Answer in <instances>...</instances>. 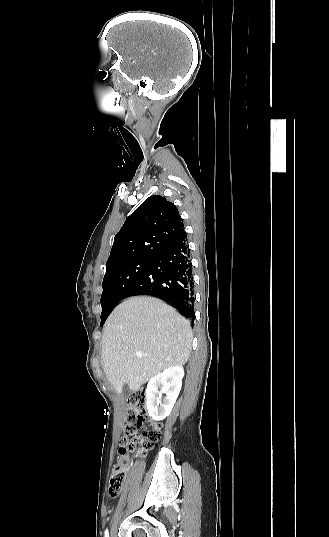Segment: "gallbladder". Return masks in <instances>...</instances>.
<instances>
[{
  "label": "gallbladder",
  "mask_w": 329,
  "mask_h": 537,
  "mask_svg": "<svg viewBox=\"0 0 329 537\" xmlns=\"http://www.w3.org/2000/svg\"><path fill=\"white\" fill-rule=\"evenodd\" d=\"M131 393V390L128 386V384H124L122 388V394L126 397Z\"/></svg>",
  "instance_id": "1"
}]
</instances>
